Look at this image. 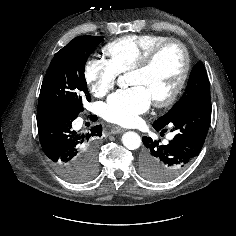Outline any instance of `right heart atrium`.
Segmentation results:
<instances>
[{"label":"right heart atrium","mask_w":236,"mask_h":236,"mask_svg":"<svg viewBox=\"0 0 236 236\" xmlns=\"http://www.w3.org/2000/svg\"><path fill=\"white\" fill-rule=\"evenodd\" d=\"M119 72L113 64L101 57L89 58L84 66V79L96 97H103L115 86Z\"/></svg>","instance_id":"right-heart-atrium-1"}]
</instances>
